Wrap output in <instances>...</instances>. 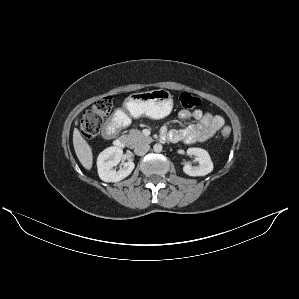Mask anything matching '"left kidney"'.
<instances>
[{"label": "left kidney", "instance_id": "left-kidney-1", "mask_svg": "<svg viewBox=\"0 0 299 299\" xmlns=\"http://www.w3.org/2000/svg\"><path fill=\"white\" fill-rule=\"evenodd\" d=\"M187 154L196 156L199 165L192 166L190 164H185L183 167V172L185 174L189 176H204L212 172L213 162L206 150L201 148H188Z\"/></svg>", "mask_w": 299, "mask_h": 299}]
</instances>
